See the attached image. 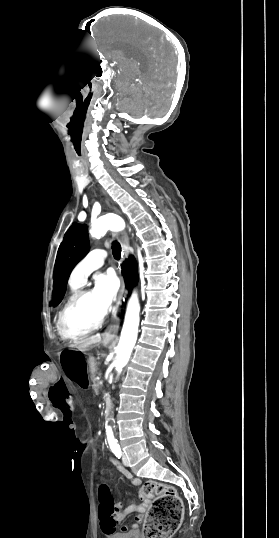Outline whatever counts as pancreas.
Instances as JSON below:
<instances>
[{"instance_id":"1","label":"pancreas","mask_w":279,"mask_h":538,"mask_svg":"<svg viewBox=\"0 0 279 538\" xmlns=\"http://www.w3.org/2000/svg\"><path fill=\"white\" fill-rule=\"evenodd\" d=\"M100 384H98V382H94L93 384V388L96 392V395H100V392H98V388H99Z\"/></svg>"}]
</instances>
